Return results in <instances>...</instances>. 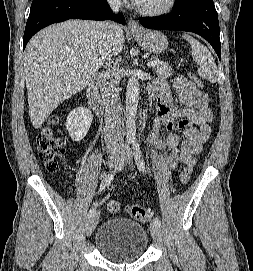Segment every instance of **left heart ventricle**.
I'll return each instance as SVG.
<instances>
[{
  "label": "left heart ventricle",
  "mask_w": 253,
  "mask_h": 271,
  "mask_svg": "<svg viewBox=\"0 0 253 271\" xmlns=\"http://www.w3.org/2000/svg\"><path fill=\"white\" fill-rule=\"evenodd\" d=\"M165 1L166 0H142L138 5L146 8L158 7L163 5Z\"/></svg>",
  "instance_id": "left-heart-ventricle-1"
}]
</instances>
